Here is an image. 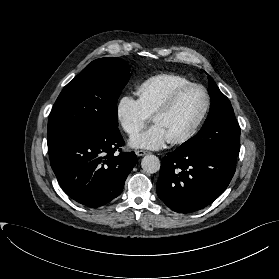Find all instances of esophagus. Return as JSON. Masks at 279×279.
I'll return each instance as SVG.
<instances>
[{"label":"esophagus","mask_w":279,"mask_h":279,"mask_svg":"<svg viewBox=\"0 0 279 279\" xmlns=\"http://www.w3.org/2000/svg\"><path fill=\"white\" fill-rule=\"evenodd\" d=\"M135 153H136L137 156H144V155L149 154V151H146V150H137V151H135Z\"/></svg>","instance_id":"esophagus-1"}]
</instances>
